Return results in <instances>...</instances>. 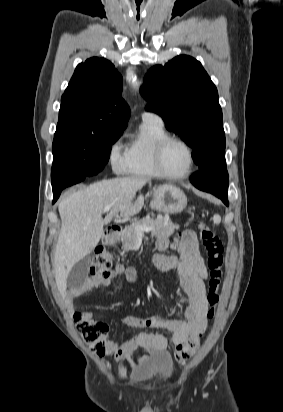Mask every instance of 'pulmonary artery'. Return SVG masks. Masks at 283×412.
<instances>
[{"label":"pulmonary artery","instance_id":"pulmonary-artery-1","mask_svg":"<svg viewBox=\"0 0 283 412\" xmlns=\"http://www.w3.org/2000/svg\"><path fill=\"white\" fill-rule=\"evenodd\" d=\"M142 120L143 121L149 120V121H152V122L163 124V119L161 118V116H159L158 114H155V113H151V112H144L142 114Z\"/></svg>","mask_w":283,"mask_h":412}]
</instances>
